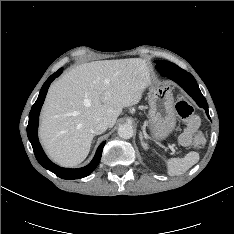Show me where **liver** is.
<instances>
[{"label":"liver","mask_w":234,"mask_h":234,"mask_svg":"<svg viewBox=\"0 0 234 234\" xmlns=\"http://www.w3.org/2000/svg\"><path fill=\"white\" fill-rule=\"evenodd\" d=\"M148 85L146 64L137 58L95 61L63 75L50 86L41 113L39 137L49 157L65 167L80 164L90 151L93 121L112 128Z\"/></svg>","instance_id":"obj_1"}]
</instances>
